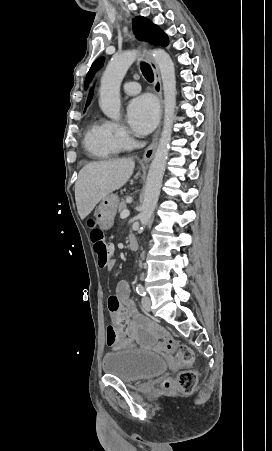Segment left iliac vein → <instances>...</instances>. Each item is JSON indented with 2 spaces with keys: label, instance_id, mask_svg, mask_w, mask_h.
<instances>
[{
  "label": "left iliac vein",
  "instance_id": "left-iliac-vein-1",
  "mask_svg": "<svg viewBox=\"0 0 272 451\" xmlns=\"http://www.w3.org/2000/svg\"><path fill=\"white\" fill-rule=\"evenodd\" d=\"M141 304L145 311H151V299L148 296L142 297Z\"/></svg>",
  "mask_w": 272,
  "mask_h": 451
}]
</instances>
